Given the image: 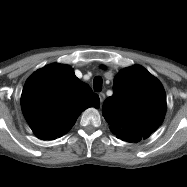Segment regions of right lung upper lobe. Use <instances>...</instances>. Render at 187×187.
Returning <instances> with one entry per match:
<instances>
[{"label": "right lung upper lobe", "instance_id": "cb5924a9", "mask_svg": "<svg viewBox=\"0 0 187 187\" xmlns=\"http://www.w3.org/2000/svg\"><path fill=\"white\" fill-rule=\"evenodd\" d=\"M21 107L34 134L52 140L68 132L82 111L99 107V97L71 67L51 64L26 81Z\"/></svg>", "mask_w": 187, "mask_h": 187}]
</instances>
